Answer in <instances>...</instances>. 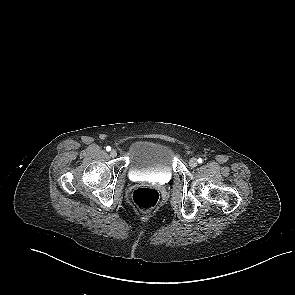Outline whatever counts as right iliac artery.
<instances>
[{
    "label": "right iliac artery",
    "instance_id": "right-iliac-artery-1",
    "mask_svg": "<svg viewBox=\"0 0 295 295\" xmlns=\"http://www.w3.org/2000/svg\"><path fill=\"white\" fill-rule=\"evenodd\" d=\"M106 150L109 152L111 150V147L110 146H107L106 147Z\"/></svg>",
    "mask_w": 295,
    "mask_h": 295
}]
</instances>
